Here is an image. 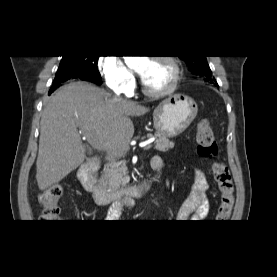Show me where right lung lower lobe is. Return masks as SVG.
Masks as SVG:
<instances>
[{
	"instance_id": "obj_1",
	"label": "right lung lower lobe",
	"mask_w": 277,
	"mask_h": 277,
	"mask_svg": "<svg viewBox=\"0 0 277 277\" xmlns=\"http://www.w3.org/2000/svg\"><path fill=\"white\" fill-rule=\"evenodd\" d=\"M76 78H81L83 80H88V81H91V82H94L96 83L95 81L87 78V77H83V76H77L76 74H71V73H68V74H58L56 75L54 81H53V84H52V87L49 91V94H51L53 91H55L63 82L67 81V80H70V79H76Z\"/></svg>"
}]
</instances>
